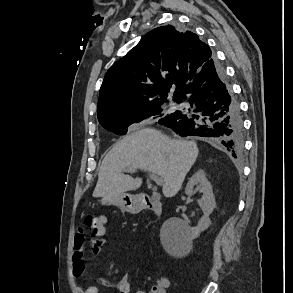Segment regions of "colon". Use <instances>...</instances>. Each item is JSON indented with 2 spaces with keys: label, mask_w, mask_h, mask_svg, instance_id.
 Segmentation results:
<instances>
[{
  "label": "colon",
  "mask_w": 293,
  "mask_h": 293,
  "mask_svg": "<svg viewBox=\"0 0 293 293\" xmlns=\"http://www.w3.org/2000/svg\"><path fill=\"white\" fill-rule=\"evenodd\" d=\"M107 217L103 214H87L84 217L83 225L90 236H100L106 228ZM162 287L158 284L152 287L151 293H163Z\"/></svg>",
  "instance_id": "colon-1"
}]
</instances>
